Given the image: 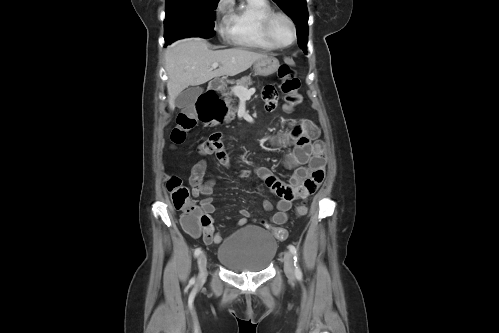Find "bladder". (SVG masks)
<instances>
[{
    "label": "bladder",
    "mask_w": 499,
    "mask_h": 333,
    "mask_svg": "<svg viewBox=\"0 0 499 333\" xmlns=\"http://www.w3.org/2000/svg\"><path fill=\"white\" fill-rule=\"evenodd\" d=\"M277 247L272 234L259 226L249 225L223 240L217 259L232 272H263L273 261Z\"/></svg>",
    "instance_id": "1"
}]
</instances>
